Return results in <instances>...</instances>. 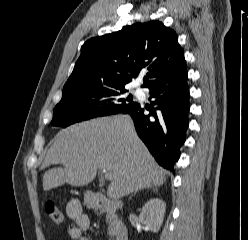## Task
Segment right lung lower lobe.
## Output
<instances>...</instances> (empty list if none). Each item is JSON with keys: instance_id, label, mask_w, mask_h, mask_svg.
Returning <instances> with one entry per match:
<instances>
[{"instance_id": "98d812e1", "label": "right lung lower lobe", "mask_w": 248, "mask_h": 240, "mask_svg": "<svg viewBox=\"0 0 248 240\" xmlns=\"http://www.w3.org/2000/svg\"><path fill=\"white\" fill-rule=\"evenodd\" d=\"M147 88L150 89V97L155 98L151 102L154 106L151 113L146 114L139 103L119 113L132 117L139 137L159 165L174 172L189 122L187 68Z\"/></svg>"}]
</instances>
